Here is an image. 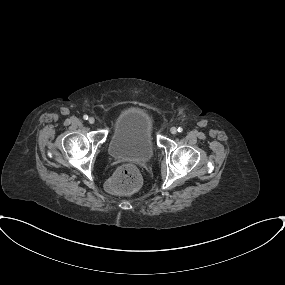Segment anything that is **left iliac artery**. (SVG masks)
I'll use <instances>...</instances> for the list:
<instances>
[{
  "label": "left iliac artery",
  "mask_w": 285,
  "mask_h": 285,
  "mask_svg": "<svg viewBox=\"0 0 285 285\" xmlns=\"http://www.w3.org/2000/svg\"><path fill=\"white\" fill-rule=\"evenodd\" d=\"M177 131H178L179 133H181V132L183 131V128H182V127H179V128L177 129Z\"/></svg>",
  "instance_id": "1"
}]
</instances>
